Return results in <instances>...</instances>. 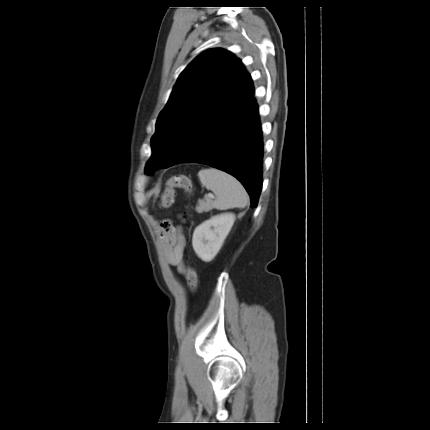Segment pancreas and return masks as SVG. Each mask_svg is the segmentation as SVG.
<instances>
[{"label":"pancreas","mask_w":430,"mask_h":430,"mask_svg":"<svg viewBox=\"0 0 430 430\" xmlns=\"http://www.w3.org/2000/svg\"><path fill=\"white\" fill-rule=\"evenodd\" d=\"M212 200L210 198H206V200H199L196 206V212L201 214L203 212H209L212 210L211 206Z\"/></svg>","instance_id":"pancreas-1"}]
</instances>
